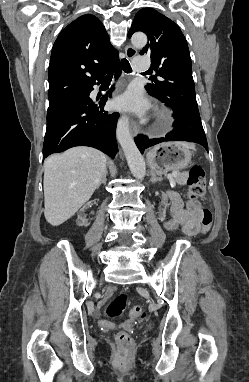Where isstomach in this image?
I'll use <instances>...</instances> for the list:
<instances>
[{"instance_id":"0dacf381","label":"stomach","mask_w":249,"mask_h":382,"mask_svg":"<svg viewBox=\"0 0 249 382\" xmlns=\"http://www.w3.org/2000/svg\"><path fill=\"white\" fill-rule=\"evenodd\" d=\"M191 156L192 153L187 144L166 142L150 149L147 153V161L153 172L165 174L171 170L185 169L191 161Z\"/></svg>"}]
</instances>
